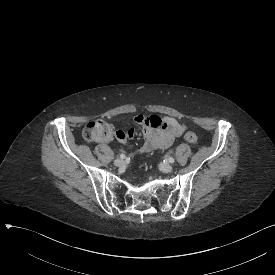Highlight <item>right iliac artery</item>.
Masks as SVG:
<instances>
[{
    "instance_id": "right-iliac-artery-1",
    "label": "right iliac artery",
    "mask_w": 275,
    "mask_h": 275,
    "mask_svg": "<svg viewBox=\"0 0 275 275\" xmlns=\"http://www.w3.org/2000/svg\"><path fill=\"white\" fill-rule=\"evenodd\" d=\"M120 158H125V155H124V154H121V155H120Z\"/></svg>"
}]
</instances>
